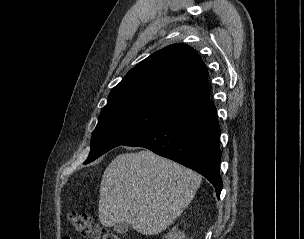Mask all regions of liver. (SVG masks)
Wrapping results in <instances>:
<instances>
[{
    "mask_svg": "<svg viewBox=\"0 0 304 239\" xmlns=\"http://www.w3.org/2000/svg\"><path fill=\"white\" fill-rule=\"evenodd\" d=\"M201 176L150 150L116 156L100 185L99 220L111 227L126 222L143 235H156L183 212Z\"/></svg>",
    "mask_w": 304,
    "mask_h": 239,
    "instance_id": "liver-1",
    "label": "liver"
}]
</instances>
